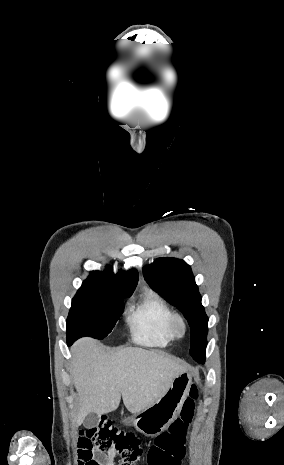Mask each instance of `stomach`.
<instances>
[{"label":"stomach","instance_id":"1","mask_svg":"<svg viewBox=\"0 0 284 465\" xmlns=\"http://www.w3.org/2000/svg\"><path fill=\"white\" fill-rule=\"evenodd\" d=\"M192 377L190 373H180L173 379L166 393L148 409L133 413L132 417L122 419L124 425H133L136 431L145 437H157L166 431L170 423L177 417L190 391Z\"/></svg>","mask_w":284,"mask_h":465}]
</instances>
